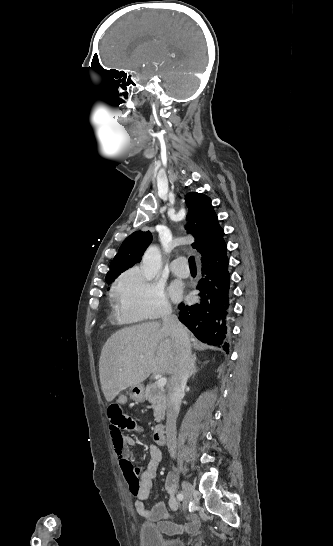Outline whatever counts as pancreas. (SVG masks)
<instances>
[{
    "instance_id": "pancreas-1",
    "label": "pancreas",
    "mask_w": 333,
    "mask_h": 546,
    "mask_svg": "<svg viewBox=\"0 0 333 546\" xmlns=\"http://www.w3.org/2000/svg\"><path fill=\"white\" fill-rule=\"evenodd\" d=\"M145 398L154 410L155 421L160 422L165 415L167 407L164 388L159 387L157 383L147 385Z\"/></svg>"
}]
</instances>
